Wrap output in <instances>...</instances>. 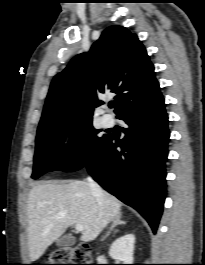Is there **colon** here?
<instances>
[{
  "mask_svg": "<svg viewBox=\"0 0 205 265\" xmlns=\"http://www.w3.org/2000/svg\"><path fill=\"white\" fill-rule=\"evenodd\" d=\"M45 265H92L91 254L87 245L64 247L53 251Z\"/></svg>",
  "mask_w": 205,
  "mask_h": 265,
  "instance_id": "colon-1",
  "label": "colon"
}]
</instances>
